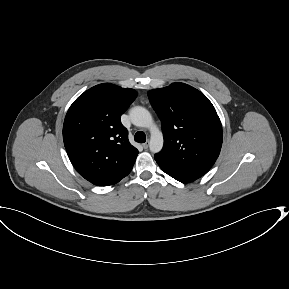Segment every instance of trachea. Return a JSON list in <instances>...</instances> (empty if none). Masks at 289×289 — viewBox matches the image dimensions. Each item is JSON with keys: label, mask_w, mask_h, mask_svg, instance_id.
<instances>
[{"label": "trachea", "mask_w": 289, "mask_h": 289, "mask_svg": "<svg viewBox=\"0 0 289 289\" xmlns=\"http://www.w3.org/2000/svg\"><path fill=\"white\" fill-rule=\"evenodd\" d=\"M134 140L138 143H144L146 142V135L144 132L142 131H138L136 132L135 136H134Z\"/></svg>", "instance_id": "obj_1"}]
</instances>
